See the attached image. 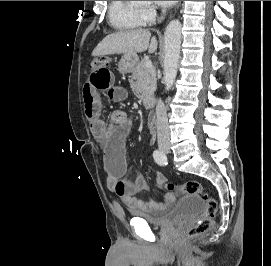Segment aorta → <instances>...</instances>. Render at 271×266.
I'll return each mask as SVG.
<instances>
[{
	"instance_id": "1",
	"label": "aorta",
	"mask_w": 271,
	"mask_h": 266,
	"mask_svg": "<svg viewBox=\"0 0 271 266\" xmlns=\"http://www.w3.org/2000/svg\"><path fill=\"white\" fill-rule=\"evenodd\" d=\"M181 22L172 20L164 33V83L166 91H169L176 79L181 46Z\"/></svg>"
}]
</instances>
